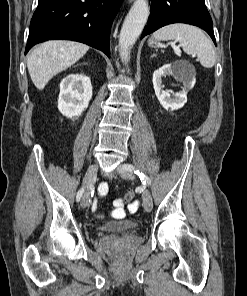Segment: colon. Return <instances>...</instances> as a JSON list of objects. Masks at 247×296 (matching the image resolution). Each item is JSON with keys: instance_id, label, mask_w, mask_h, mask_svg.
<instances>
[{"instance_id": "obj_1", "label": "colon", "mask_w": 247, "mask_h": 296, "mask_svg": "<svg viewBox=\"0 0 247 296\" xmlns=\"http://www.w3.org/2000/svg\"><path fill=\"white\" fill-rule=\"evenodd\" d=\"M134 192L132 190H129L125 193L124 197L122 199H118L116 201L117 205L123 206L125 203H129L134 199ZM123 215V213L121 211H118L114 214L113 217H121Z\"/></svg>"}]
</instances>
